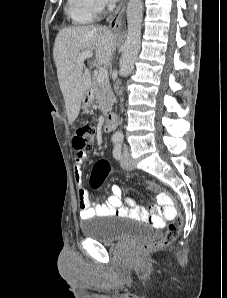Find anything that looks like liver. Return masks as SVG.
Here are the masks:
<instances>
[{"mask_svg": "<svg viewBox=\"0 0 227 298\" xmlns=\"http://www.w3.org/2000/svg\"><path fill=\"white\" fill-rule=\"evenodd\" d=\"M116 40L110 29L92 25L64 28L57 34L53 56L69 124L78 117L83 97L91 86V63L89 68L80 66L77 57L84 51H94L95 61L107 66L113 58Z\"/></svg>", "mask_w": 227, "mask_h": 298, "instance_id": "liver-1", "label": "liver"}]
</instances>
